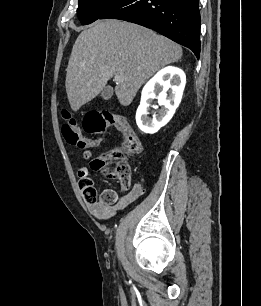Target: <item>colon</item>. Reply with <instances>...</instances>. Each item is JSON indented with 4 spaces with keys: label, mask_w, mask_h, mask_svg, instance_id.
<instances>
[{
    "label": "colon",
    "mask_w": 261,
    "mask_h": 306,
    "mask_svg": "<svg viewBox=\"0 0 261 306\" xmlns=\"http://www.w3.org/2000/svg\"><path fill=\"white\" fill-rule=\"evenodd\" d=\"M62 117L64 120L62 135L66 142L88 153V150L93 148L94 139H89L83 135L80 126L67 110L62 111ZM110 127L121 133L122 143L119 147L95 158L91 162V167L94 170L101 171L111 164L108 175L118 180L122 188L127 189L130 185L131 170L125 157L137 155L141 151V143L135 131L124 117L110 112L92 111L87 113L83 120L84 131L92 135L102 134ZM79 186L88 203L100 202L110 205L117 200V194L113 190H106L98 195L92 180L86 172H82L80 175Z\"/></svg>",
    "instance_id": "colon-1"
}]
</instances>
